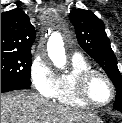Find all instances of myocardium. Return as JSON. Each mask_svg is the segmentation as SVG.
Segmentation results:
<instances>
[{"label":"myocardium","mask_w":122,"mask_h":123,"mask_svg":"<svg viewBox=\"0 0 122 123\" xmlns=\"http://www.w3.org/2000/svg\"><path fill=\"white\" fill-rule=\"evenodd\" d=\"M97 77L103 78L108 83L111 89V96L106 102H102V103L96 102L90 97V94H89L90 84ZM115 93H116L115 86L112 80L110 79V77L106 75L105 73L95 70V69H90V70H87L81 73L78 76L76 83H75L76 97L83 103L87 104L88 106L104 107L112 102V100L115 97Z\"/></svg>","instance_id":"myocardium-1"}]
</instances>
